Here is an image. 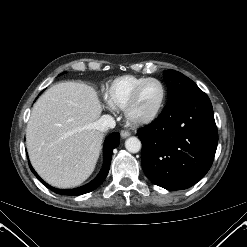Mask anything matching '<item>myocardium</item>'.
<instances>
[{
    "label": "myocardium",
    "instance_id": "obj_1",
    "mask_svg": "<svg viewBox=\"0 0 247 247\" xmlns=\"http://www.w3.org/2000/svg\"><path fill=\"white\" fill-rule=\"evenodd\" d=\"M150 82H156V83H158L161 86V89H162V97H161L160 103H159L157 109L151 115H149V116H147L145 118H140V119L134 118L131 115V108L134 105V103L136 102V100H137V98L139 96V93L142 90V88L146 84H148ZM166 100H167V89H166L165 84L160 79L150 77V78L145 79L141 83H139L133 89V91L131 92L130 96L128 97V99H127V101H126V103H125V105L123 107V113H124L126 119L130 123H132L134 125H146V124H150V123H152L153 121H155L159 117V115L161 114V112L164 109Z\"/></svg>",
    "mask_w": 247,
    "mask_h": 247
}]
</instances>
